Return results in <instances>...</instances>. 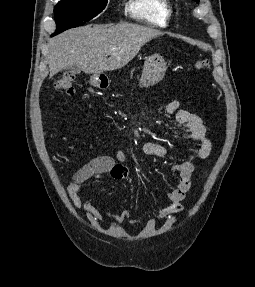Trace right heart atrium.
<instances>
[{
    "label": "right heart atrium",
    "mask_w": 255,
    "mask_h": 287,
    "mask_svg": "<svg viewBox=\"0 0 255 287\" xmlns=\"http://www.w3.org/2000/svg\"><path fill=\"white\" fill-rule=\"evenodd\" d=\"M107 48H126V47H107Z\"/></svg>",
    "instance_id": "d8ad5b80"
}]
</instances>
